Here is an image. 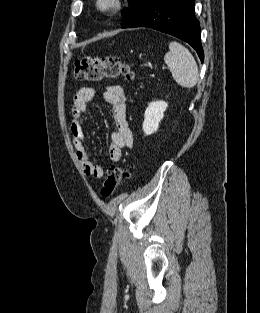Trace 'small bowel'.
Masks as SVG:
<instances>
[{
    "label": "small bowel",
    "mask_w": 260,
    "mask_h": 313,
    "mask_svg": "<svg viewBox=\"0 0 260 313\" xmlns=\"http://www.w3.org/2000/svg\"><path fill=\"white\" fill-rule=\"evenodd\" d=\"M95 91L91 87H82L73 99V120L71 123V134L77 159L83 172L97 179L105 175L102 165L94 164L88 152L82 119L88 112V103L94 97ZM103 99L112 109L114 130L110 135L109 156L112 161L119 162L122 159L124 148L133 146V134L126 119V96L119 85H108L103 93Z\"/></svg>",
    "instance_id": "obj_1"
}]
</instances>
